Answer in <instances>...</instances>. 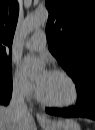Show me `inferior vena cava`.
<instances>
[{
  "instance_id": "1",
  "label": "inferior vena cava",
  "mask_w": 95,
  "mask_h": 130,
  "mask_svg": "<svg viewBox=\"0 0 95 130\" xmlns=\"http://www.w3.org/2000/svg\"><path fill=\"white\" fill-rule=\"evenodd\" d=\"M9 107L17 117L28 113V107L25 103V94L22 89L19 88L13 91Z\"/></svg>"
}]
</instances>
